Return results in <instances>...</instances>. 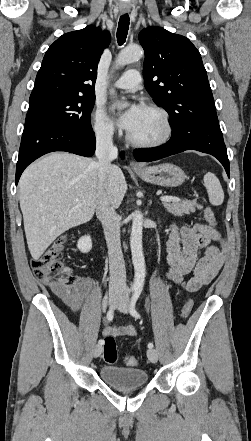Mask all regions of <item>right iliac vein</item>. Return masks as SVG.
<instances>
[{
	"label": "right iliac vein",
	"instance_id": "obj_1",
	"mask_svg": "<svg viewBox=\"0 0 251 441\" xmlns=\"http://www.w3.org/2000/svg\"><path fill=\"white\" fill-rule=\"evenodd\" d=\"M119 296H120V294L116 293V292L115 293H111L109 295V304H110V306H113L116 303V301L118 300ZM102 351H103L102 345H99V344L96 345V347L94 349V353H93L94 357L95 358L99 357L101 355Z\"/></svg>",
	"mask_w": 251,
	"mask_h": 441
}]
</instances>
